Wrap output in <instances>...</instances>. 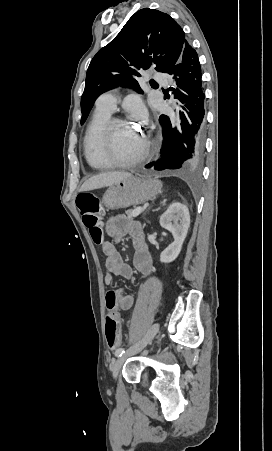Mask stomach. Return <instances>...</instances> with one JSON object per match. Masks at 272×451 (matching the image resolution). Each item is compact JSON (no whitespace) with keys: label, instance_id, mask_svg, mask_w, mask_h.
Masks as SVG:
<instances>
[{"label":"stomach","instance_id":"stomach-1","mask_svg":"<svg viewBox=\"0 0 272 451\" xmlns=\"http://www.w3.org/2000/svg\"><path fill=\"white\" fill-rule=\"evenodd\" d=\"M162 184L158 180H145L139 176H129L106 190L102 204L107 210H119L128 206H138L160 194Z\"/></svg>","mask_w":272,"mask_h":451}]
</instances>
